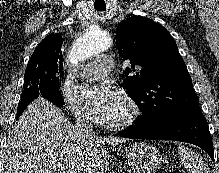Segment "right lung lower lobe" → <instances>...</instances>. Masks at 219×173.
I'll return each instance as SVG.
<instances>
[{
	"mask_svg": "<svg viewBox=\"0 0 219 173\" xmlns=\"http://www.w3.org/2000/svg\"><path fill=\"white\" fill-rule=\"evenodd\" d=\"M39 96V93L36 94H27L24 96H21V101L18 105V109H17V118L20 117V115L22 114V112L26 109V107L37 97Z\"/></svg>",
	"mask_w": 219,
	"mask_h": 173,
	"instance_id": "98d812e1",
	"label": "right lung lower lobe"
}]
</instances>
